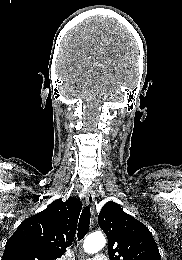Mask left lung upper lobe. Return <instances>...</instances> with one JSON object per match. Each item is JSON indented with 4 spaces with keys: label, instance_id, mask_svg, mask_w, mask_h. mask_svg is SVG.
<instances>
[{
    "label": "left lung upper lobe",
    "instance_id": "1",
    "mask_svg": "<svg viewBox=\"0 0 182 260\" xmlns=\"http://www.w3.org/2000/svg\"><path fill=\"white\" fill-rule=\"evenodd\" d=\"M98 223L108 238L111 260H161L148 228L117 203L109 201L102 207Z\"/></svg>",
    "mask_w": 182,
    "mask_h": 260
}]
</instances>
